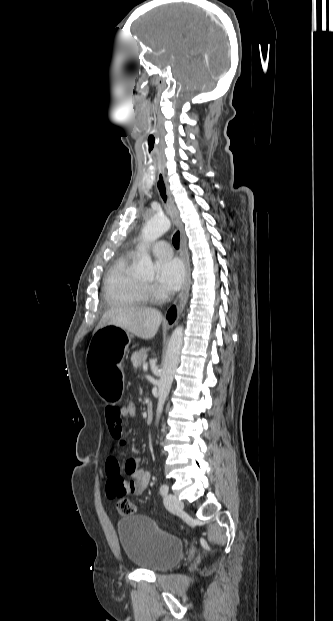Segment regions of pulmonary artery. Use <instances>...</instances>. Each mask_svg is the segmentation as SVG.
I'll list each match as a JSON object with an SVG mask.
<instances>
[{
  "mask_svg": "<svg viewBox=\"0 0 333 621\" xmlns=\"http://www.w3.org/2000/svg\"><path fill=\"white\" fill-rule=\"evenodd\" d=\"M152 253L159 258H169L172 255L170 245L166 241H159L151 248Z\"/></svg>",
  "mask_w": 333,
  "mask_h": 621,
  "instance_id": "1",
  "label": "pulmonary artery"
}]
</instances>
